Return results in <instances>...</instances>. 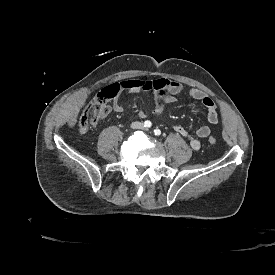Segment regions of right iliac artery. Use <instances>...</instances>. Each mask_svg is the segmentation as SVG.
<instances>
[{"label": "right iliac artery", "mask_w": 275, "mask_h": 275, "mask_svg": "<svg viewBox=\"0 0 275 275\" xmlns=\"http://www.w3.org/2000/svg\"><path fill=\"white\" fill-rule=\"evenodd\" d=\"M151 125H152V123L149 120L144 122V127L150 128Z\"/></svg>", "instance_id": "right-iliac-artery-1"}]
</instances>
